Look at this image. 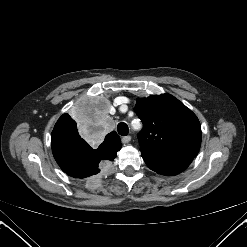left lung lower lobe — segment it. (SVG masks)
<instances>
[{"mask_svg": "<svg viewBox=\"0 0 247 247\" xmlns=\"http://www.w3.org/2000/svg\"><path fill=\"white\" fill-rule=\"evenodd\" d=\"M147 166L153 171L166 175L172 176L184 171L191 163L188 160L172 161L162 159H152L142 156Z\"/></svg>", "mask_w": 247, "mask_h": 247, "instance_id": "left-lung-lower-lobe-1", "label": "left lung lower lobe"}]
</instances>
